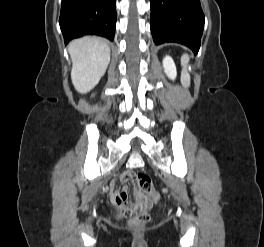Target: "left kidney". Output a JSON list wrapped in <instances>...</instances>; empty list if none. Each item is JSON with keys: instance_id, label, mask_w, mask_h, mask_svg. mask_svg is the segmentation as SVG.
Wrapping results in <instances>:
<instances>
[{"instance_id": "obj_1", "label": "left kidney", "mask_w": 264, "mask_h": 247, "mask_svg": "<svg viewBox=\"0 0 264 247\" xmlns=\"http://www.w3.org/2000/svg\"><path fill=\"white\" fill-rule=\"evenodd\" d=\"M163 67L167 76L174 80L177 76L176 66L173 59L170 56H166L163 59Z\"/></svg>"}]
</instances>
